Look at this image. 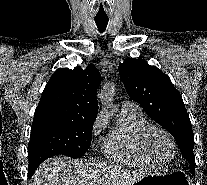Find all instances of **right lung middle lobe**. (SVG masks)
<instances>
[{"instance_id": "1", "label": "right lung middle lobe", "mask_w": 207, "mask_h": 185, "mask_svg": "<svg viewBox=\"0 0 207 185\" xmlns=\"http://www.w3.org/2000/svg\"><path fill=\"white\" fill-rule=\"evenodd\" d=\"M93 124L63 117H34L28 144L29 176L47 158L83 156L91 145Z\"/></svg>"}]
</instances>
